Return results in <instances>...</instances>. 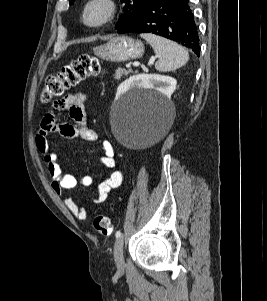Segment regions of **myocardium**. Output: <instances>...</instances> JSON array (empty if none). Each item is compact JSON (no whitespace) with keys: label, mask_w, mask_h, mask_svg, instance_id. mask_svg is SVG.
<instances>
[{"label":"myocardium","mask_w":267,"mask_h":301,"mask_svg":"<svg viewBox=\"0 0 267 301\" xmlns=\"http://www.w3.org/2000/svg\"><path fill=\"white\" fill-rule=\"evenodd\" d=\"M101 6L103 8L102 15L96 20H89L88 12L94 6ZM118 12V4L115 0H87L82 9V22L88 27H101L114 20Z\"/></svg>","instance_id":"1"}]
</instances>
